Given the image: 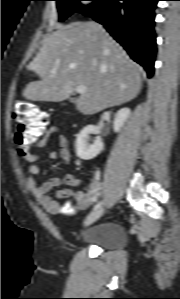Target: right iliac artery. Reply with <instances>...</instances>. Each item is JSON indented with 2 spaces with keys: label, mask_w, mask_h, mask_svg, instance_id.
Segmentation results:
<instances>
[{
  "label": "right iliac artery",
  "mask_w": 180,
  "mask_h": 299,
  "mask_svg": "<svg viewBox=\"0 0 180 299\" xmlns=\"http://www.w3.org/2000/svg\"><path fill=\"white\" fill-rule=\"evenodd\" d=\"M101 205H102V201H99V202L93 207V210L98 209L99 207H101Z\"/></svg>",
  "instance_id": "82829eb1"
}]
</instances>
